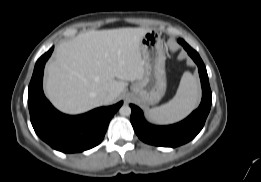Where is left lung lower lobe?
Returning <instances> with one entry per match:
<instances>
[{
	"label": "left lung lower lobe",
	"mask_w": 261,
	"mask_h": 182,
	"mask_svg": "<svg viewBox=\"0 0 261 182\" xmlns=\"http://www.w3.org/2000/svg\"><path fill=\"white\" fill-rule=\"evenodd\" d=\"M182 46L198 66L202 85L201 104L198 109L185 120L169 126H155L148 123L144 119L141 109L131 104V124L137 136L145 143L173 148L185 144L201 131L209 114L212 103V93L206 67L195 50L188 44H183Z\"/></svg>",
	"instance_id": "1"
}]
</instances>
